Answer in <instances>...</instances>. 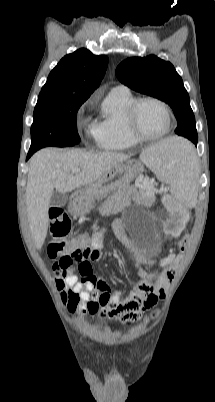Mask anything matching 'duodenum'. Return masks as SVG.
I'll use <instances>...</instances> for the list:
<instances>
[{
	"instance_id": "obj_1",
	"label": "duodenum",
	"mask_w": 215,
	"mask_h": 402,
	"mask_svg": "<svg viewBox=\"0 0 215 402\" xmlns=\"http://www.w3.org/2000/svg\"><path fill=\"white\" fill-rule=\"evenodd\" d=\"M71 209L73 212H77V208L74 205L71 207Z\"/></svg>"
}]
</instances>
